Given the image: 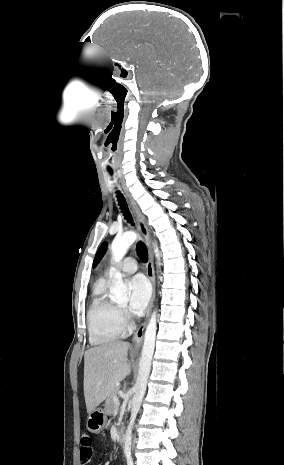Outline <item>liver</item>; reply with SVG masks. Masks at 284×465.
<instances>
[{
  "instance_id": "6515ba94",
  "label": "liver",
  "mask_w": 284,
  "mask_h": 465,
  "mask_svg": "<svg viewBox=\"0 0 284 465\" xmlns=\"http://www.w3.org/2000/svg\"><path fill=\"white\" fill-rule=\"evenodd\" d=\"M129 347L130 343L111 341L85 351L84 397L87 413L95 411L116 389V383L130 375L131 363L127 359Z\"/></svg>"
}]
</instances>
